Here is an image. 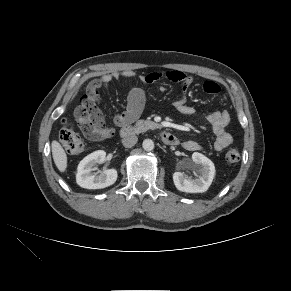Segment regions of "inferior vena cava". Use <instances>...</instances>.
I'll use <instances>...</instances> for the list:
<instances>
[{
	"label": "inferior vena cava",
	"instance_id": "inferior-vena-cava-1",
	"mask_svg": "<svg viewBox=\"0 0 291 291\" xmlns=\"http://www.w3.org/2000/svg\"><path fill=\"white\" fill-rule=\"evenodd\" d=\"M137 141H138L137 136L131 135V136L124 138L122 140V143H123L124 147L130 148V147H133L137 143Z\"/></svg>",
	"mask_w": 291,
	"mask_h": 291
}]
</instances>
